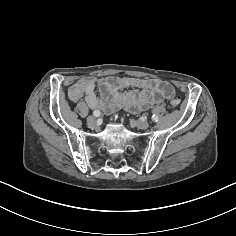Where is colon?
<instances>
[{
	"mask_svg": "<svg viewBox=\"0 0 236 236\" xmlns=\"http://www.w3.org/2000/svg\"><path fill=\"white\" fill-rule=\"evenodd\" d=\"M180 104V99L179 98H174L170 102V107L175 108Z\"/></svg>",
	"mask_w": 236,
	"mask_h": 236,
	"instance_id": "obj_1",
	"label": "colon"
}]
</instances>
